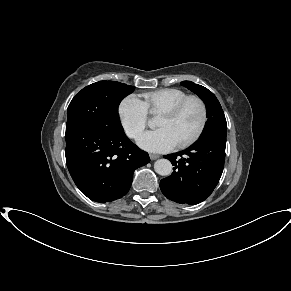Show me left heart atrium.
<instances>
[{
	"mask_svg": "<svg viewBox=\"0 0 291 291\" xmlns=\"http://www.w3.org/2000/svg\"><path fill=\"white\" fill-rule=\"evenodd\" d=\"M138 144L150 152H167L177 146L176 141L164 128L144 133L138 139Z\"/></svg>",
	"mask_w": 291,
	"mask_h": 291,
	"instance_id": "39dd6f15",
	"label": "left heart atrium"
}]
</instances>
